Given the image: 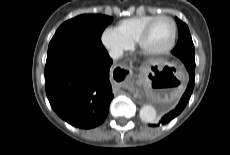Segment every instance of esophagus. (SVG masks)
Segmentation results:
<instances>
[{
  "label": "esophagus",
  "instance_id": "34e87169",
  "mask_svg": "<svg viewBox=\"0 0 230 155\" xmlns=\"http://www.w3.org/2000/svg\"><path fill=\"white\" fill-rule=\"evenodd\" d=\"M121 71H123V72H125L126 74L129 72V69H128V67H126V66H121ZM116 88H117V86H115Z\"/></svg>",
  "mask_w": 230,
  "mask_h": 155
}]
</instances>
